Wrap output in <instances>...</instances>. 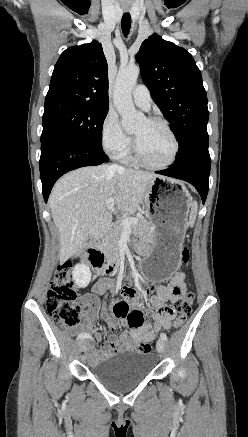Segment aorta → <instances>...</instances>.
I'll use <instances>...</instances> for the list:
<instances>
[{"instance_id":"obj_1","label":"aorta","mask_w":248,"mask_h":437,"mask_svg":"<svg viewBox=\"0 0 248 437\" xmlns=\"http://www.w3.org/2000/svg\"><path fill=\"white\" fill-rule=\"evenodd\" d=\"M140 69L138 66H130L118 72L113 94L114 105L122 117L123 127L131 128L143 118L132 101V89L136 84Z\"/></svg>"}]
</instances>
